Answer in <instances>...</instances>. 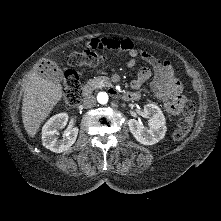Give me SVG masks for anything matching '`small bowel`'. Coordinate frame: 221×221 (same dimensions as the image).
Returning <instances> with one entry per match:
<instances>
[{
  "mask_svg": "<svg viewBox=\"0 0 221 221\" xmlns=\"http://www.w3.org/2000/svg\"><path fill=\"white\" fill-rule=\"evenodd\" d=\"M92 50L112 51L116 53H126L130 56L127 67L136 65L137 59L143 60L147 66L141 68L137 77L131 81L133 92L140 98L137 92L143 83L153 76L151 88L155 97L163 102L165 110L171 115H178L183 110L185 97L183 86L176 77L169 61H162L150 53L140 50L137 45L129 39L93 38L87 45Z\"/></svg>",
  "mask_w": 221,
  "mask_h": 221,
  "instance_id": "small-bowel-1",
  "label": "small bowel"
}]
</instances>
